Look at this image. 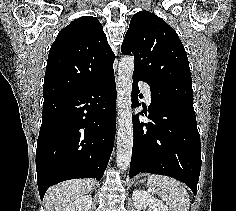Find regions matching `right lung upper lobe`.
I'll use <instances>...</instances> for the list:
<instances>
[{
  "mask_svg": "<svg viewBox=\"0 0 236 211\" xmlns=\"http://www.w3.org/2000/svg\"><path fill=\"white\" fill-rule=\"evenodd\" d=\"M115 55L99 20L83 16L63 28L52 44L43 97L84 90L113 72Z\"/></svg>",
  "mask_w": 236,
  "mask_h": 211,
  "instance_id": "1",
  "label": "right lung upper lobe"
}]
</instances>
